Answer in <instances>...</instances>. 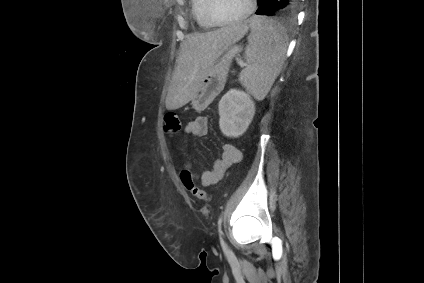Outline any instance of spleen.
<instances>
[{
    "mask_svg": "<svg viewBox=\"0 0 424 283\" xmlns=\"http://www.w3.org/2000/svg\"><path fill=\"white\" fill-rule=\"evenodd\" d=\"M244 58L247 66L239 80L257 99H264L279 75L287 51L288 36L285 28L273 20L252 17L249 21Z\"/></svg>",
    "mask_w": 424,
    "mask_h": 283,
    "instance_id": "spleen-1",
    "label": "spleen"
}]
</instances>
